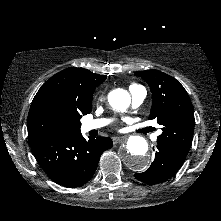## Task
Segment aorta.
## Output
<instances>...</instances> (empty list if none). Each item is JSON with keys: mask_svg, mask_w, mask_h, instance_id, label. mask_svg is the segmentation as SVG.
<instances>
[{"mask_svg": "<svg viewBox=\"0 0 221 221\" xmlns=\"http://www.w3.org/2000/svg\"><path fill=\"white\" fill-rule=\"evenodd\" d=\"M130 101V95L124 89H115L108 94L109 104L118 111H125L130 105ZM120 157L123 164L132 171H145L151 161L146 139L141 136H130L121 150Z\"/></svg>", "mask_w": 221, "mask_h": 221, "instance_id": "aorta-1", "label": "aorta"}]
</instances>
